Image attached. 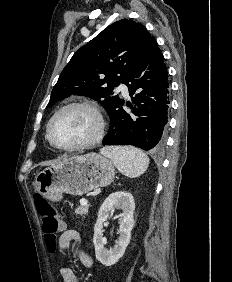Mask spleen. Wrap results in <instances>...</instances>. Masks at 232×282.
<instances>
[{
  "label": "spleen",
  "mask_w": 232,
  "mask_h": 282,
  "mask_svg": "<svg viewBox=\"0 0 232 282\" xmlns=\"http://www.w3.org/2000/svg\"><path fill=\"white\" fill-rule=\"evenodd\" d=\"M101 154L109 157L117 169L128 177H138L149 166L148 156L140 149L131 146L106 147Z\"/></svg>",
  "instance_id": "obj_1"
}]
</instances>
